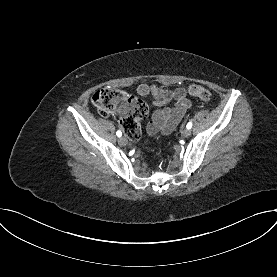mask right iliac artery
<instances>
[{
    "label": "right iliac artery",
    "mask_w": 277,
    "mask_h": 277,
    "mask_svg": "<svg viewBox=\"0 0 277 277\" xmlns=\"http://www.w3.org/2000/svg\"><path fill=\"white\" fill-rule=\"evenodd\" d=\"M116 135H117L118 137H121V136H122L121 131H117V132H116Z\"/></svg>",
    "instance_id": "1"
}]
</instances>
